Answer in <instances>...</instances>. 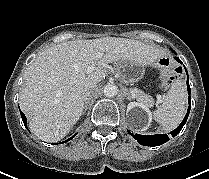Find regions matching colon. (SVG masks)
Masks as SVG:
<instances>
[{"label": "colon", "instance_id": "obj_1", "mask_svg": "<svg viewBox=\"0 0 209 179\" xmlns=\"http://www.w3.org/2000/svg\"><path fill=\"white\" fill-rule=\"evenodd\" d=\"M160 64L163 68L166 69L168 68L169 62L167 59H162L160 61ZM181 73L182 71L180 68L169 69L164 79V85L168 86L172 84L176 79H178L181 76Z\"/></svg>", "mask_w": 209, "mask_h": 179}]
</instances>
